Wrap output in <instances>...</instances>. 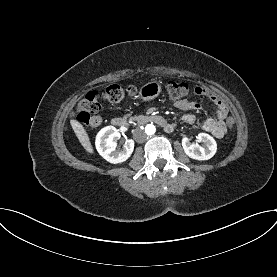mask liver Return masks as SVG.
<instances>
[{
	"label": "liver",
	"mask_w": 277,
	"mask_h": 277,
	"mask_svg": "<svg viewBox=\"0 0 277 277\" xmlns=\"http://www.w3.org/2000/svg\"><path fill=\"white\" fill-rule=\"evenodd\" d=\"M71 126H72L79 142L84 147V149L88 153L93 154L94 150H93V147L91 145L89 136H88L86 130L84 129V127L79 122H77L76 120H71Z\"/></svg>",
	"instance_id": "liver-1"
}]
</instances>
